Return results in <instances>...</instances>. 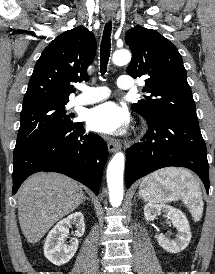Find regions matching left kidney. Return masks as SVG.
<instances>
[{
	"label": "left kidney",
	"mask_w": 215,
	"mask_h": 274,
	"mask_svg": "<svg viewBox=\"0 0 215 274\" xmlns=\"http://www.w3.org/2000/svg\"><path fill=\"white\" fill-rule=\"evenodd\" d=\"M163 213L171 220L173 226L177 229L175 238L160 233L157 237L159 245L170 253H179L183 251L191 240V231L189 222L182 211L165 204L148 203L144 207V216L146 221H153L158 215Z\"/></svg>",
	"instance_id": "5707ae66"
}]
</instances>
